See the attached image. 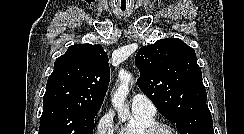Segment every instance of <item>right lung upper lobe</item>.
<instances>
[{
  "instance_id": "cb5924a9",
  "label": "right lung upper lobe",
  "mask_w": 244,
  "mask_h": 134,
  "mask_svg": "<svg viewBox=\"0 0 244 134\" xmlns=\"http://www.w3.org/2000/svg\"><path fill=\"white\" fill-rule=\"evenodd\" d=\"M109 80L108 56L101 45H72L55 61L43 105L59 102L98 112Z\"/></svg>"
}]
</instances>
